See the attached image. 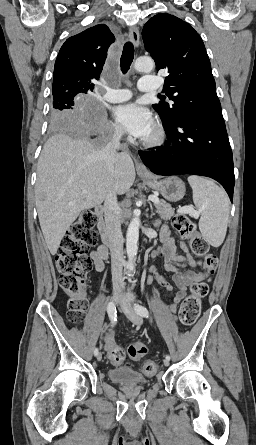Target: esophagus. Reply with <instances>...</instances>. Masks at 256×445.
Wrapping results in <instances>:
<instances>
[{
  "label": "esophagus",
  "instance_id": "1",
  "mask_svg": "<svg viewBox=\"0 0 256 445\" xmlns=\"http://www.w3.org/2000/svg\"><path fill=\"white\" fill-rule=\"evenodd\" d=\"M129 38L135 47L139 46L140 36H139V30L136 27L132 26L129 28ZM136 170L140 173L149 174L148 169L140 160L136 161Z\"/></svg>",
  "mask_w": 256,
  "mask_h": 445
}]
</instances>
